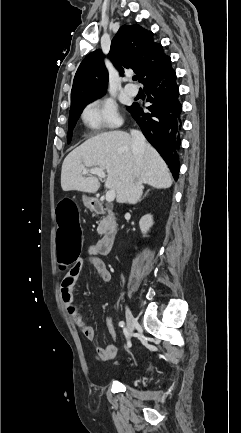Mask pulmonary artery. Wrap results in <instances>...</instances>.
<instances>
[{
  "instance_id": "e3ab8cb5",
  "label": "pulmonary artery",
  "mask_w": 241,
  "mask_h": 433,
  "mask_svg": "<svg viewBox=\"0 0 241 433\" xmlns=\"http://www.w3.org/2000/svg\"><path fill=\"white\" fill-rule=\"evenodd\" d=\"M125 91L128 94H130L132 96H135L138 93V88L136 86L132 85V84H127L125 86Z\"/></svg>"
}]
</instances>
